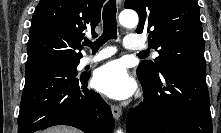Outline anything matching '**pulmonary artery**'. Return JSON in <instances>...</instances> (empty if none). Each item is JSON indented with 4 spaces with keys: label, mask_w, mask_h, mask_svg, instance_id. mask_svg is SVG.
Instances as JSON below:
<instances>
[{
    "label": "pulmonary artery",
    "mask_w": 221,
    "mask_h": 133,
    "mask_svg": "<svg viewBox=\"0 0 221 133\" xmlns=\"http://www.w3.org/2000/svg\"><path fill=\"white\" fill-rule=\"evenodd\" d=\"M124 46L126 49L131 51H139L146 48V44L140 40L137 35H127L126 40L124 42ZM116 52V49L113 47H107L99 50L96 54L93 55H84V57L80 60L79 67L82 68L86 65L94 64L103 59L111 57ZM154 56H157V53H153Z\"/></svg>",
    "instance_id": "1"
}]
</instances>
